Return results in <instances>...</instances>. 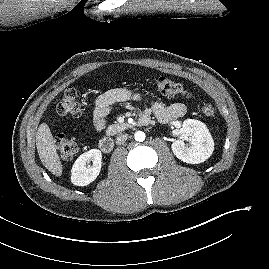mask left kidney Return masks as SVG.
Instances as JSON below:
<instances>
[{
	"mask_svg": "<svg viewBox=\"0 0 269 269\" xmlns=\"http://www.w3.org/2000/svg\"><path fill=\"white\" fill-rule=\"evenodd\" d=\"M173 125L177 128L182 127L180 133L190 141L189 146L179 139L172 143V151L178 159L189 164H199L210 158L214 150V141L204 123L187 119L182 124L179 121L173 122Z\"/></svg>",
	"mask_w": 269,
	"mask_h": 269,
	"instance_id": "5707ae66",
	"label": "left kidney"
}]
</instances>
